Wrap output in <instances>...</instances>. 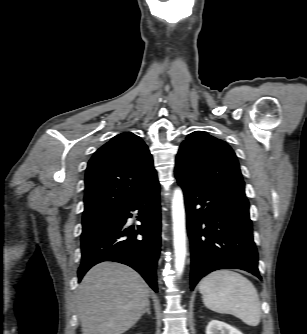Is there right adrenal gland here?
I'll return each instance as SVG.
<instances>
[{
	"mask_svg": "<svg viewBox=\"0 0 307 334\" xmlns=\"http://www.w3.org/2000/svg\"><path fill=\"white\" fill-rule=\"evenodd\" d=\"M147 313L148 315L151 314V311H150V303H148L146 309L144 310L143 314Z\"/></svg>",
	"mask_w": 307,
	"mask_h": 334,
	"instance_id": "obj_1",
	"label": "right adrenal gland"
}]
</instances>
